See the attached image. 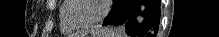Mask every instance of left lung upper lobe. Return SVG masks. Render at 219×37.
Instances as JSON below:
<instances>
[{"instance_id": "5c2ea615", "label": "left lung upper lobe", "mask_w": 219, "mask_h": 37, "mask_svg": "<svg viewBox=\"0 0 219 37\" xmlns=\"http://www.w3.org/2000/svg\"><path fill=\"white\" fill-rule=\"evenodd\" d=\"M116 1H117V0H113V4H115Z\"/></svg>"}]
</instances>
